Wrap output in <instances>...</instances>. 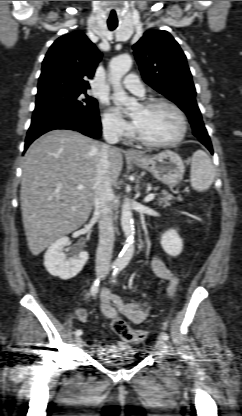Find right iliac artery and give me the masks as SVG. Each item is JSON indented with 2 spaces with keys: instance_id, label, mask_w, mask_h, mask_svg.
<instances>
[{
  "instance_id": "obj_1",
  "label": "right iliac artery",
  "mask_w": 242,
  "mask_h": 416,
  "mask_svg": "<svg viewBox=\"0 0 242 416\" xmlns=\"http://www.w3.org/2000/svg\"><path fill=\"white\" fill-rule=\"evenodd\" d=\"M118 265H119V264L113 263L112 265H110V266H109V269H111V268H116ZM109 269H108V270H109ZM99 282H100V281H99V278H98V279H96V280L94 281L93 285L91 286V290H90V292H91V295H92V296H96V295H97L98 290H99ZM75 335H76V336H80V335H82V330H80V329L76 330V331H75Z\"/></svg>"
}]
</instances>
